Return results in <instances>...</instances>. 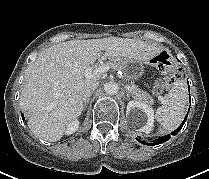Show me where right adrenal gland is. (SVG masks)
I'll list each match as a JSON object with an SVG mask.
<instances>
[{
	"instance_id": "1",
	"label": "right adrenal gland",
	"mask_w": 209,
	"mask_h": 179,
	"mask_svg": "<svg viewBox=\"0 0 209 179\" xmlns=\"http://www.w3.org/2000/svg\"><path fill=\"white\" fill-rule=\"evenodd\" d=\"M88 103H89V100H87V101L84 103L83 110H86V106L88 105Z\"/></svg>"
}]
</instances>
